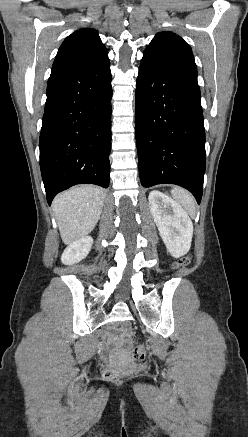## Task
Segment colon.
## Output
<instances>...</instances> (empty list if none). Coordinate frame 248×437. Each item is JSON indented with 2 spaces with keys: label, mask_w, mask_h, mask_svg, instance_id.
Wrapping results in <instances>:
<instances>
[{
  "label": "colon",
  "mask_w": 248,
  "mask_h": 437,
  "mask_svg": "<svg viewBox=\"0 0 248 437\" xmlns=\"http://www.w3.org/2000/svg\"><path fill=\"white\" fill-rule=\"evenodd\" d=\"M188 263H189V258H185L181 261V264L184 265ZM136 342L137 344L132 349V358L135 361H142L146 355V347L140 344L139 337H136ZM103 376L107 381L117 383L124 376V372L116 367H108L104 370Z\"/></svg>",
  "instance_id": "obj_1"
}]
</instances>
